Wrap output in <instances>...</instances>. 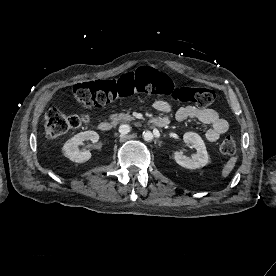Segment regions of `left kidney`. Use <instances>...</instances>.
<instances>
[{
    "instance_id": "1",
    "label": "left kidney",
    "mask_w": 276,
    "mask_h": 276,
    "mask_svg": "<svg viewBox=\"0 0 276 276\" xmlns=\"http://www.w3.org/2000/svg\"><path fill=\"white\" fill-rule=\"evenodd\" d=\"M183 140L185 143L191 144L197 153L192 157H187L183 152L175 151L173 156L176 163L187 169H197L207 165L209 156L202 138L197 133L186 132L183 135Z\"/></svg>"
}]
</instances>
